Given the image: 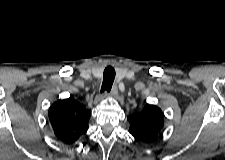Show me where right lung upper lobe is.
I'll return each mask as SVG.
<instances>
[{"instance_id":"right-lung-upper-lobe-1","label":"right lung upper lobe","mask_w":225,"mask_h":160,"mask_svg":"<svg viewBox=\"0 0 225 160\" xmlns=\"http://www.w3.org/2000/svg\"><path fill=\"white\" fill-rule=\"evenodd\" d=\"M48 116L55 135L64 143L71 144L87 132L91 112L70 97L55 102Z\"/></svg>"}]
</instances>
